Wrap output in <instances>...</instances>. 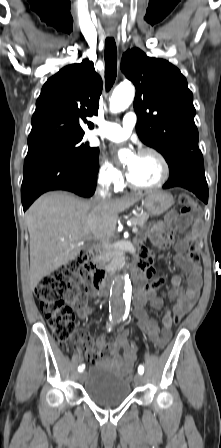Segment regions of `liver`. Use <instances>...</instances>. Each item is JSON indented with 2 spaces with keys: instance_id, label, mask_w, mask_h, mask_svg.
Returning <instances> with one entry per match:
<instances>
[{
  "instance_id": "1",
  "label": "liver",
  "mask_w": 221,
  "mask_h": 448,
  "mask_svg": "<svg viewBox=\"0 0 221 448\" xmlns=\"http://www.w3.org/2000/svg\"><path fill=\"white\" fill-rule=\"evenodd\" d=\"M142 194L100 201L83 200L67 192L40 196L27 210L30 235V285L33 290L47 275L74 260L84 241H104L115 230L118 214Z\"/></svg>"
}]
</instances>
